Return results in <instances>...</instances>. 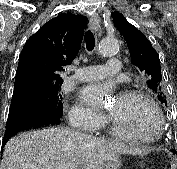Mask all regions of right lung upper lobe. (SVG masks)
<instances>
[{
	"label": "right lung upper lobe",
	"mask_w": 177,
	"mask_h": 169,
	"mask_svg": "<svg viewBox=\"0 0 177 169\" xmlns=\"http://www.w3.org/2000/svg\"><path fill=\"white\" fill-rule=\"evenodd\" d=\"M85 21L82 15L63 13L33 34L19 57L15 87L28 82L62 84L60 73L79 52Z\"/></svg>",
	"instance_id": "right-lung-upper-lobe-1"
}]
</instances>
